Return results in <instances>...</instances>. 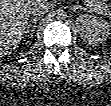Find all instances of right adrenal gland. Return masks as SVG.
Instances as JSON below:
<instances>
[{"label": "right adrenal gland", "instance_id": "2a0ac1e0", "mask_svg": "<svg viewBox=\"0 0 111 106\" xmlns=\"http://www.w3.org/2000/svg\"><path fill=\"white\" fill-rule=\"evenodd\" d=\"M38 20H39V18H33V19H31V20L27 23V25H26L25 33H29V28L31 27V23L34 24L33 27L35 28V27H36V23L38 22ZM33 34H34V30H32L31 36H33Z\"/></svg>", "mask_w": 111, "mask_h": 106}]
</instances>
